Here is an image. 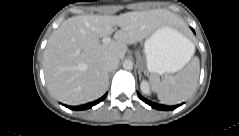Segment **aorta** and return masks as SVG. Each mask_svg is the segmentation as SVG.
Segmentation results:
<instances>
[{
    "instance_id": "aorta-1",
    "label": "aorta",
    "mask_w": 239,
    "mask_h": 136,
    "mask_svg": "<svg viewBox=\"0 0 239 136\" xmlns=\"http://www.w3.org/2000/svg\"><path fill=\"white\" fill-rule=\"evenodd\" d=\"M123 68L125 70H132L133 69V62L131 60H125L123 62Z\"/></svg>"
}]
</instances>
